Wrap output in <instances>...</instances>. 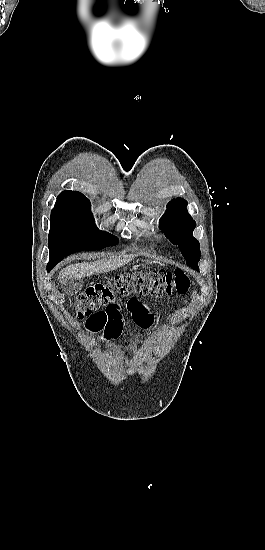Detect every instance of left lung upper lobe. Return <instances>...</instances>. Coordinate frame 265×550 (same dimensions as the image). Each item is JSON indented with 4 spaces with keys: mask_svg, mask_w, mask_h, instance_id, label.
<instances>
[{
    "mask_svg": "<svg viewBox=\"0 0 265 550\" xmlns=\"http://www.w3.org/2000/svg\"><path fill=\"white\" fill-rule=\"evenodd\" d=\"M187 201L177 198L167 205L165 214L160 219L162 229L170 242L181 249L186 264L195 270H199L200 260L199 241L192 235L196 222L187 212Z\"/></svg>",
    "mask_w": 265,
    "mask_h": 550,
    "instance_id": "obj_1",
    "label": "left lung upper lobe"
}]
</instances>
